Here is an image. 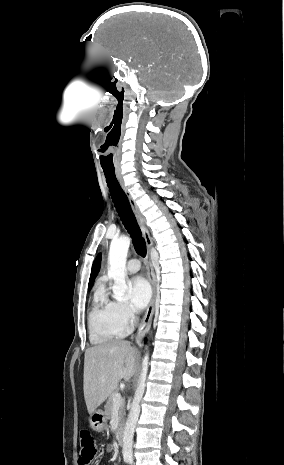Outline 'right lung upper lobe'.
Returning <instances> with one entry per match:
<instances>
[{"mask_svg": "<svg viewBox=\"0 0 284 465\" xmlns=\"http://www.w3.org/2000/svg\"><path fill=\"white\" fill-rule=\"evenodd\" d=\"M100 263H101V254H99L97 256V258L95 259L94 263H93V266H92V270H91V275H90V280H89V288L92 287L93 283H94V280L99 272V269H100Z\"/></svg>", "mask_w": 284, "mask_h": 465, "instance_id": "obj_1", "label": "right lung upper lobe"}]
</instances>
